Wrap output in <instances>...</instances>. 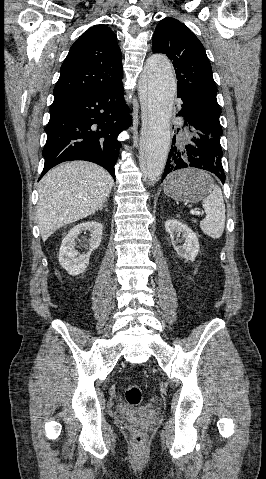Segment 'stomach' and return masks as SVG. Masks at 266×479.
Masks as SVG:
<instances>
[{
	"label": "stomach",
	"instance_id": "1",
	"mask_svg": "<svg viewBox=\"0 0 266 479\" xmlns=\"http://www.w3.org/2000/svg\"><path fill=\"white\" fill-rule=\"evenodd\" d=\"M212 184L205 171L188 168L169 175L164 183V193L176 201L195 203L210 193Z\"/></svg>",
	"mask_w": 266,
	"mask_h": 479
}]
</instances>
